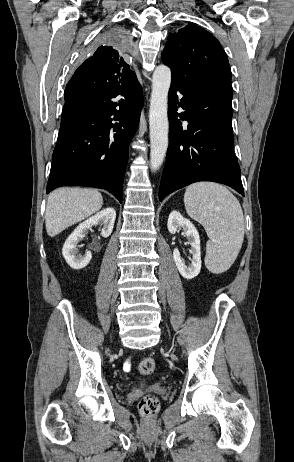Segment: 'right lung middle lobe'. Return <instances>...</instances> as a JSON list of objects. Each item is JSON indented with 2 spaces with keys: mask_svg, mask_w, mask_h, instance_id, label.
Listing matches in <instances>:
<instances>
[{
  "mask_svg": "<svg viewBox=\"0 0 294 462\" xmlns=\"http://www.w3.org/2000/svg\"><path fill=\"white\" fill-rule=\"evenodd\" d=\"M123 33L118 28L108 29L102 32L96 39L94 46L119 45L123 42ZM99 46V47H100Z\"/></svg>",
  "mask_w": 294,
  "mask_h": 462,
  "instance_id": "dd1d6c3e",
  "label": "right lung middle lobe"
}]
</instances>
